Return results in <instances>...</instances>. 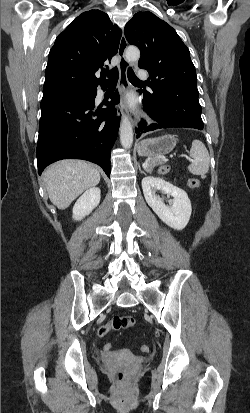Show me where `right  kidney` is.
I'll list each match as a JSON object with an SVG mask.
<instances>
[{
    "label": "right kidney",
    "mask_w": 250,
    "mask_h": 413,
    "mask_svg": "<svg viewBox=\"0 0 250 413\" xmlns=\"http://www.w3.org/2000/svg\"><path fill=\"white\" fill-rule=\"evenodd\" d=\"M101 192L97 187L86 190L76 201L73 207V219L82 220L89 215L100 203Z\"/></svg>",
    "instance_id": "right-kidney-1"
}]
</instances>
